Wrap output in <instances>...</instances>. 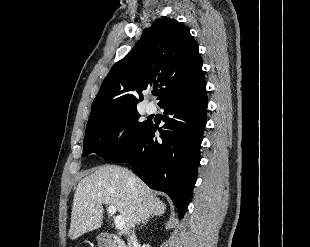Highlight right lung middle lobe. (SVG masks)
<instances>
[{
  "mask_svg": "<svg viewBox=\"0 0 310 247\" xmlns=\"http://www.w3.org/2000/svg\"><path fill=\"white\" fill-rule=\"evenodd\" d=\"M137 109L99 117L86 126L83 155L97 153L111 162L125 153L147 128L149 122H139ZM121 138L118 132L124 130Z\"/></svg>",
  "mask_w": 310,
  "mask_h": 247,
  "instance_id": "dd1d6c3e",
  "label": "right lung middle lobe"
}]
</instances>
